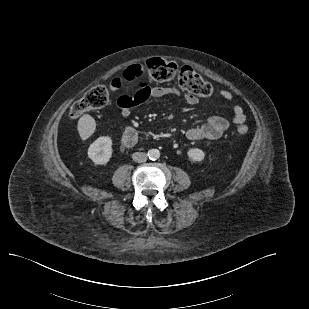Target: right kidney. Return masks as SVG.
Wrapping results in <instances>:
<instances>
[{
  "instance_id": "right-kidney-1",
  "label": "right kidney",
  "mask_w": 309,
  "mask_h": 309,
  "mask_svg": "<svg viewBox=\"0 0 309 309\" xmlns=\"http://www.w3.org/2000/svg\"><path fill=\"white\" fill-rule=\"evenodd\" d=\"M88 157L96 165H105L112 157V139L102 136L97 138L88 148Z\"/></svg>"
}]
</instances>
